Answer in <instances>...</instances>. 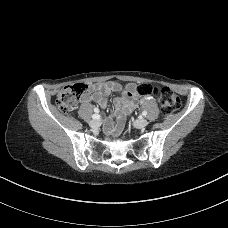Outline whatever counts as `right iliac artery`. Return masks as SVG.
Returning a JSON list of instances; mask_svg holds the SVG:
<instances>
[{
  "label": "right iliac artery",
  "mask_w": 228,
  "mask_h": 228,
  "mask_svg": "<svg viewBox=\"0 0 228 228\" xmlns=\"http://www.w3.org/2000/svg\"><path fill=\"white\" fill-rule=\"evenodd\" d=\"M94 111H95V114H93L92 118L93 119H99L100 116L97 114L98 113V109L96 108Z\"/></svg>",
  "instance_id": "1"
}]
</instances>
